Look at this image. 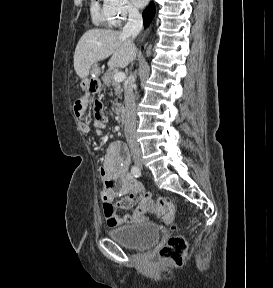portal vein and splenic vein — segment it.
Segmentation results:
<instances>
[{"label": "portal vein and splenic vein", "instance_id": "18ae733b", "mask_svg": "<svg viewBox=\"0 0 273 288\" xmlns=\"http://www.w3.org/2000/svg\"><path fill=\"white\" fill-rule=\"evenodd\" d=\"M125 73H123V72H117V73H115V75H114V80L116 81V82H122V81H124V79H125Z\"/></svg>", "mask_w": 273, "mask_h": 288}]
</instances>
